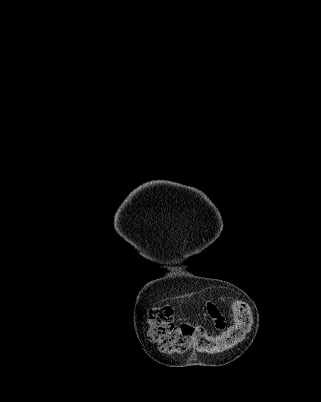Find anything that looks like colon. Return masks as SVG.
<instances>
[{
	"label": "colon",
	"instance_id": "obj_1",
	"mask_svg": "<svg viewBox=\"0 0 321 402\" xmlns=\"http://www.w3.org/2000/svg\"><path fill=\"white\" fill-rule=\"evenodd\" d=\"M232 313L233 323L222 332L212 334L200 325L176 323L169 306L157 307L149 313V338L167 353H184L191 349L218 353L235 345L252 324L251 311L245 302L235 301Z\"/></svg>",
	"mask_w": 321,
	"mask_h": 402
}]
</instances>
